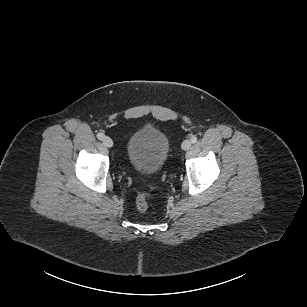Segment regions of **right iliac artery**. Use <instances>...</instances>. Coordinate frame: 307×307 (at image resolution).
Listing matches in <instances>:
<instances>
[{
  "label": "right iliac artery",
  "mask_w": 307,
  "mask_h": 307,
  "mask_svg": "<svg viewBox=\"0 0 307 307\" xmlns=\"http://www.w3.org/2000/svg\"><path fill=\"white\" fill-rule=\"evenodd\" d=\"M97 138H98L99 140H102V139L104 138V135H103L102 133H98V134H97Z\"/></svg>",
  "instance_id": "1"
}]
</instances>
